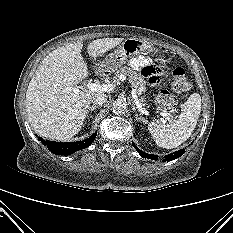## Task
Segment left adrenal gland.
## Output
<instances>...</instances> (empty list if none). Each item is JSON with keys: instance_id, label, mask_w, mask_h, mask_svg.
I'll list each match as a JSON object with an SVG mask.
<instances>
[{"instance_id": "a2214340", "label": "left adrenal gland", "mask_w": 233, "mask_h": 233, "mask_svg": "<svg viewBox=\"0 0 233 233\" xmlns=\"http://www.w3.org/2000/svg\"><path fill=\"white\" fill-rule=\"evenodd\" d=\"M132 107H133V111L135 113V119L137 121H143L144 122L143 118L138 115L136 106L134 104H132Z\"/></svg>"}]
</instances>
